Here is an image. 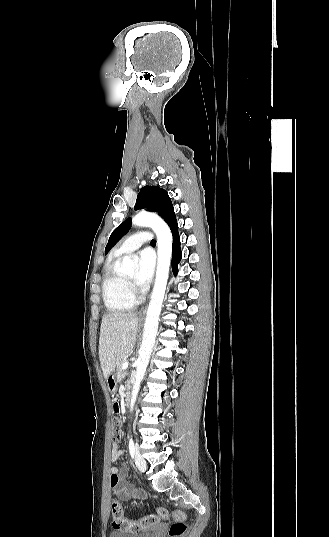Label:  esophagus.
<instances>
[{
  "label": "esophagus",
  "instance_id": "1",
  "mask_svg": "<svg viewBox=\"0 0 329 537\" xmlns=\"http://www.w3.org/2000/svg\"><path fill=\"white\" fill-rule=\"evenodd\" d=\"M146 310H147V305L142 308V310L140 311V315H144L146 313Z\"/></svg>",
  "mask_w": 329,
  "mask_h": 537
}]
</instances>
